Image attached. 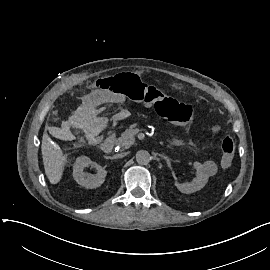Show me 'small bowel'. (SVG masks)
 Returning a JSON list of instances; mask_svg holds the SVG:
<instances>
[{"label": "small bowel", "instance_id": "1", "mask_svg": "<svg viewBox=\"0 0 270 270\" xmlns=\"http://www.w3.org/2000/svg\"><path fill=\"white\" fill-rule=\"evenodd\" d=\"M174 87L180 88L179 84H175ZM97 100L99 103H113L120 104L125 101V98L121 94L114 92H99L96 94Z\"/></svg>", "mask_w": 270, "mask_h": 270}]
</instances>
